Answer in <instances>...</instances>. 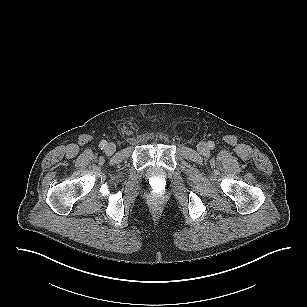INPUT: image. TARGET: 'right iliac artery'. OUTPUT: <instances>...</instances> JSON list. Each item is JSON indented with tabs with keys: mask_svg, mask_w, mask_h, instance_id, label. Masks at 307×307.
<instances>
[{
	"mask_svg": "<svg viewBox=\"0 0 307 307\" xmlns=\"http://www.w3.org/2000/svg\"><path fill=\"white\" fill-rule=\"evenodd\" d=\"M106 144H107V142H106L105 140H102V141L100 142V144H99V147H100L101 149H104L105 146H106Z\"/></svg>",
	"mask_w": 307,
	"mask_h": 307,
	"instance_id": "obj_1",
	"label": "right iliac artery"
}]
</instances>
